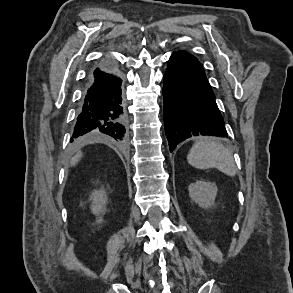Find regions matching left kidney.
Masks as SVG:
<instances>
[{"label":"left kidney","instance_id":"obj_1","mask_svg":"<svg viewBox=\"0 0 293 293\" xmlns=\"http://www.w3.org/2000/svg\"><path fill=\"white\" fill-rule=\"evenodd\" d=\"M188 191L192 201L202 208H209L214 205L218 188L213 182L196 181L189 185Z\"/></svg>","mask_w":293,"mask_h":293}]
</instances>
